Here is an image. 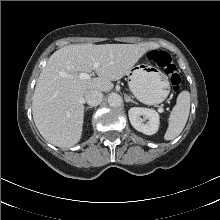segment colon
<instances>
[{
	"label": "colon",
	"instance_id": "5ec220e1",
	"mask_svg": "<svg viewBox=\"0 0 220 220\" xmlns=\"http://www.w3.org/2000/svg\"><path fill=\"white\" fill-rule=\"evenodd\" d=\"M148 59L168 76L173 91H178L181 85V76L171 55L165 51L153 50L148 54Z\"/></svg>",
	"mask_w": 220,
	"mask_h": 220
}]
</instances>
